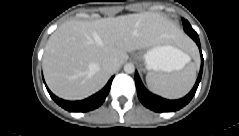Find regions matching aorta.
<instances>
[{"mask_svg": "<svg viewBox=\"0 0 239 136\" xmlns=\"http://www.w3.org/2000/svg\"><path fill=\"white\" fill-rule=\"evenodd\" d=\"M134 70H135V67H134V65H133L132 63H126V64L124 65V71H125L126 73H133Z\"/></svg>", "mask_w": 239, "mask_h": 136, "instance_id": "aorta-1", "label": "aorta"}]
</instances>
